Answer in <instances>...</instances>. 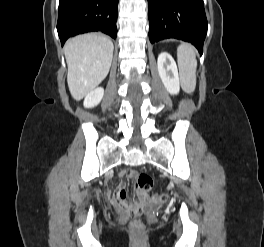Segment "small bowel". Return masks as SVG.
I'll return each instance as SVG.
<instances>
[{
    "label": "small bowel",
    "instance_id": "1",
    "mask_svg": "<svg viewBox=\"0 0 264 247\" xmlns=\"http://www.w3.org/2000/svg\"><path fill=\"white\" fill-rule=\"evenodd\" d=\"M135 173L133 171H130L128 173H124L125 176H133ZM145 195L143 194V192L141 191H138V197L139 198H143ZM126 197H127V194H126V191L124 189V185H120L116 190L115 192L113 193V196H112V201L119 205L121 203H124L126 201Z\"/></svg>",
    "mask_w": 264,
    "mask_h": 247
}]
</instances>
